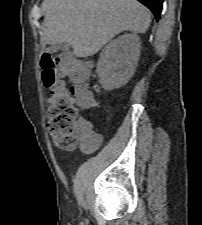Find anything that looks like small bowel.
<instances>
[{
	"instance_id": "1",
	"label": "small bowel",
	"mask_w": 202,
	"mask_h": 225,
	"mask_svg": "<svg viewBox=\"0 0 202 225\" xmlns=\"http://www.w3.org/2000/svg\"><path fill=\"white\" fill-rule=\"evenodd\" d=\"M91 65H92L91 62H86L87 70L91 67ZM78 103H79V106L83 110H90V109L94 108L95 107V99L93 97V94H92L91 90H89V94H86L84 92L79 93ZM82 124L84 126H89V127H92V128L94 127L93 123L90 122V121L84 120V121H82ZM92 136L95 139H97V141L91 148H89L90 150H97L104 145V143H105L104 135L93 131Z\"/></svg>"
}]
</instances>
